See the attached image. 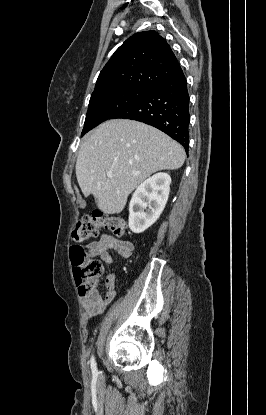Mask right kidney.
I'll return each mask as SVG.
<instances>
[{
	"mask_svg": "<svg viewBox=\"0 0 266 415\" xmlns=\"http://www.w3.org/2000/svg\"><path fill=\"white\" fill-rule=\"evenodd\" d=\"M170 184L169 174L157 173L137 187L129 204V228L132 232L142 233L157 221L167 203Z\"/></svg>",
	"mask_w": 266,
	"mask_h": 415,
	"instance_id": "1",
	"label": "right kidney"
}]
</instances>
